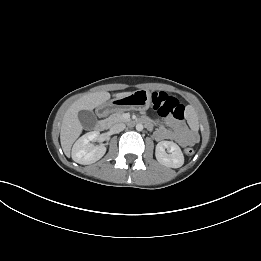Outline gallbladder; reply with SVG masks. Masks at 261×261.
Returning <instances> with one entry per match:
<instances>
[{
    "label": "gallbladder",
    "mask_w": 261,
    "mask_h": 261,
    "mask_svg": "<svg viewBox=\"0 0 261 261\" xmlns=\"http://www.w3.org/2000/svg\"><path fill=\"white\" fill-rule=\"evenodd\" d=\"M78 119L85 129H93L97 123V117L90 110H81L78 112Z\"/></svg>",
    "instance_id": "1"
}]
</instances>
